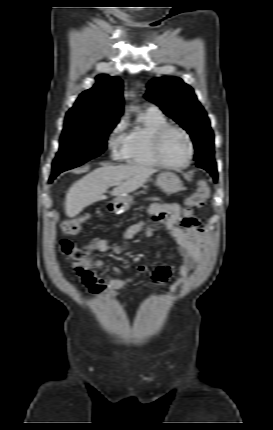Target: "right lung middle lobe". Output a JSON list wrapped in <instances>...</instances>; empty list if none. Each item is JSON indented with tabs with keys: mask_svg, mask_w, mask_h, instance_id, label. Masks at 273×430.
<instances>
[{
	"mask_svg": "<svg viewBox=\"0 0 273 430\" xmlns=\"http://www.w3.org/2000/svg\"><path fill=\"white\" fill-rule=\"evenodd\" d=\"M118 121L67 114L52 175L57 176L99 156L106 149L107 136Z\"/></svg>",
	"mask_w": 273,
	"mask_h": 430,
	"instance_id": "obj_1",
	"label": "right lung middle lobe"
}]
</instances>
